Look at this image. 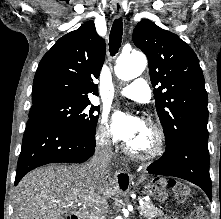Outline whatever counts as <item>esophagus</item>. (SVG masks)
Returning <instances> with one entry per match:
<instances>
[{"mask_svg": "<svg viewBox=\"0 0 221 219\" xmlns=\"http://www.w3.org/2000/svg\"><path fill=\"white\" fill-rule=\"evenodd\" d=\"M114 11H115L116 17H120L123 15V7L120 2L114 4Z\"/></svg>", "mask_w": 221, "mask_h": 219, "instance_id": "34e87169", "label": "esophagus"}]
</instances>
